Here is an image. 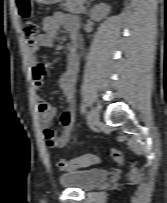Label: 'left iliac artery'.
Instances as JSON below:
<instances>
[{"label": "left iliac artery", "mask_w": 167, "mask_h": 203, "mask_svg": "<svg viewBox=\"0 0 167 203\" xmlns=\"http://www.w3.org/2000/svg\"><path fill=\"white\" fill-rule=\"evenodd\" d=\"M86 107H87V105H86L85 103H83V104L81 105L80 110H81V113H82V114L86 111Z\"/></svg>", "instance_id": "left-iliac-artery-1"}]
</instances>
